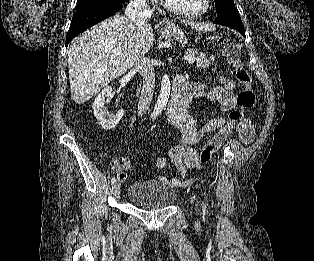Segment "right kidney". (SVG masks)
I'll return each mask as SVG.
<instances>
[{"label":"right kidney","instance_id":"obj_1","mask_svg":"<svg viewBox=\"0 0 314 261\" xmlns=\"http://www.w3.org/2000/svg\"><path fill=\"white\" fill-rule=\"evenodd\" d=\"M112 87H105L101 93L96 97L93 103L94 116L99 124L105 130H111L116 127L124 116V110L120 109L116 114H109L105 108V99L111 95Z\"/></svg>","mask_w":314,"mask_h":261}]
</instances>
